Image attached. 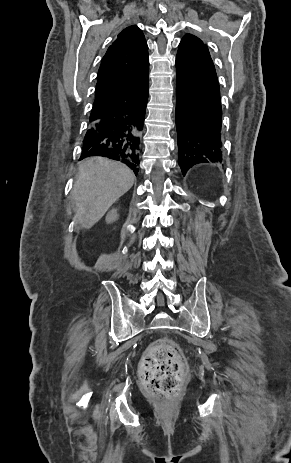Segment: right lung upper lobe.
Instances as JSON below:
<instances>
[{"label": "right lung upper lobe", "instance_id": "right-lung-upper-lobe-1", "mask_svg": "<svg viewBox=\"0 0 291 463\" xmlns=\"http://www.w3.org/2000/svg\"><path fill=\"white\" fill-rule=\"evenodd\" d=\"M148 46L135 25L125 28L110 45L98 71L90 122L120 107L128 96L148 82Z\"/></svg>", "mask_w": 291, "mask_h": 463}]
</instances>
